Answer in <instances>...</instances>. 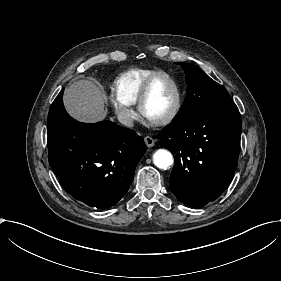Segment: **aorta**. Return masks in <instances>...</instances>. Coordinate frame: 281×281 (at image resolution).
<instances>
[{
  "label": "aorta",
  "mask_w": 281,
  "mask_h": 281,
  "mask_svg": "<svg viewBox=\"0 0 281 281\" xmlns=\"http://www.w3.org/2000/svg\"><path fill=\"white\" fill-rule=\"evenodd\" d=\"M153 162L156 167L166 170L173 164L174 159L170 151L166 149H158L153 154Z\"/></svg>",
  "instance_id": "aorta-1"
}]
</instances>
